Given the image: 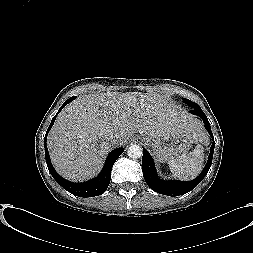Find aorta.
<instances>
[{
    "label": "aorta",
    "instance_id": "obj_1",
    "mask_svg": "<svg viewBox=\"0 0 253 253\" xmlns=\"http://www.w3.org/2000/svg\"><path fill=\"white\" fill-rule=\"evenodd\" d=\"M127 154L132 159H137L142 157L143 155V149L139 145H131L128 147Z\"/></svg>",
    "mask_w": 253,
    "mask_h": 253
}]
</instances>
